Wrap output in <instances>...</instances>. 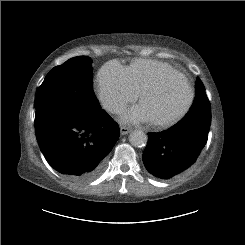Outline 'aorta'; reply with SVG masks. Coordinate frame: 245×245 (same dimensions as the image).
<instances>
[{
	"label": "aorta",
	"mask_w": 245,
	"mask_h": 245,
	"mask_svg": "<svg viewBox=\"0 0 245 245\" xmlns=\"http://www.w3.org/2000/svg\"><path fill=\"white\" fill-rule=\"evenodd\" d=\"M129 141L135 147H144L148 142V137L143 131L135 130L130 133Z\"/></svg>",
	"instance_id": "762f6f07"
}]
</instances>
